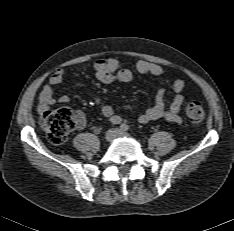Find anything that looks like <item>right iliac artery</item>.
I'll return each mask as SVG.
<instances>
[{
    "instance_id": "obj_1",
    "label": "right iliac artery",
    "mask_w": 234,
    "mask_h": 231,
    "mask_svg": "<svg viewBox=\"0 0 234 231\" xmlns=\"http://www.w3.org/2000/svg\"><path fill=\"white\" fill-rule=\"evenodd\" d=\"M110 122H111L112 124H121L122 118L119 117V116H114V117H112V118L110 119Z\"/></svg>"
}]
</instances>
